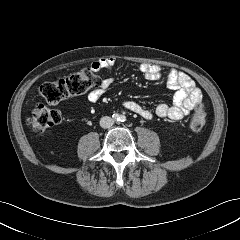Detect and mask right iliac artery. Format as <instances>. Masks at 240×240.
Here are the masks:
<instances>
[{
	"instance_id": "right-iliac-artery-1",
	"label": "right iliac artery",
	"mask_w": 240,
	"mask_h": 240,
	"mask_svg": "<svg viewBox=\"0 0 240 240\" xmlns=\"http://www.w3.org/2000/svg\"><path fill=\"white\" fill-rule=\"evenodd\" d=\"M113 117L115 118V119H119V115L118 114H115V115H113Z\"/></svg>"
}]
</instances>
